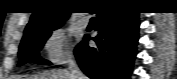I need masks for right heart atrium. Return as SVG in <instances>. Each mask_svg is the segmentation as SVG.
Instances as JSON below:
<instances>
[{
  "label": "right heart atrium",
  "mask_w": 177,
  "mask_h": 79,
  "mask_svg": "<svg viewBox=\"0 0 177 79\" xmlns=\"http://www.w3.org/2000/svg\"><path fill=\"white\" fill-rule=\"evenodd\" d=\"M44 57L47 63L58 65L71 56L70 42L63 29L51 30L43 41Z\"/></svg>",
  "instance_id": "d8ad5b80"
}]
</instances>
